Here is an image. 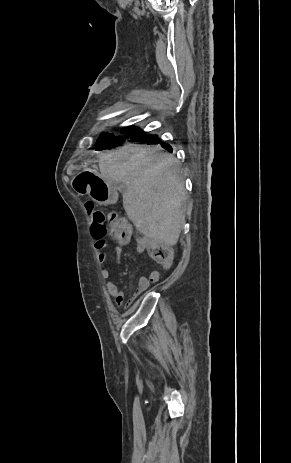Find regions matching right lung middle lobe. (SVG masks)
Returning <instances> with one entry per match:
<instances>
[{
	"label": "right lung middle lobe",
	"mask_w": 291,
	"mask_h": 463,
	"mask_svg": "<svg viewBox=\"0 0 291 463\" xmlns=\"http://www.w3.org/2000/svg\"><path fill=\"white\" fill-rule=\"evenodd\" d=\"M124 133L127 135L117 136L108 133L103 134L96 142V150L116 147L120 145L127 137H129L131 141L137 142H143L144 140L155 137L154 135L148 136L142 130L133 126L125 129Z\"/></svg>",
	"instance_id": "right-lung-middle-lobe-1"
}]
</instances>
